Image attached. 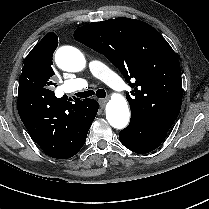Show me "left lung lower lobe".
<instances>
[{"label":"left lung lower lobe","instance_id":"1","mask_svg":"<svg viewBox=\"0 0 209 209\" xmlns=\"http://www.w3.org/2000/svg\"><path fill=\"white\" fill-rule=\"evenodd\" d=\"M166 136V131L157 129L141 118L131 115L130 123L120 132L119 139L129 150L144 154L159 147Z\"/></svg>","mask_w":209,"mask_h":209}]
</instances>
